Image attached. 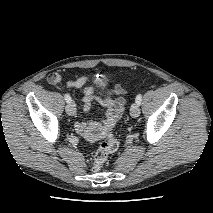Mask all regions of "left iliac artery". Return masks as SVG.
I'll use <instances>...</instances> for the list:
<instances>
[{"label": "left iliac artery", "mask_w": 213, "mask_h": 213, "mask_svg": "<svg viewBox=\"0 0 213 213\" xmlns=\"http://www.w3.org/2000/svg\"><path fill=\"white\" fill-rule=\"evenodd\" d=\"M135 101H136L137 104L140 105V104H141V101H142V95H141V94H138V95L136 96V100H135Z\"/></svg>", "instance_id": "left-iliac-artery-1"}]
</instances>
